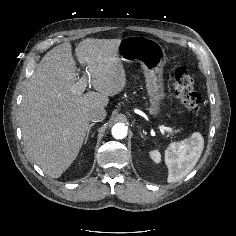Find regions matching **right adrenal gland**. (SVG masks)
Listing matches in <instances>:
<instances>
[{"label": "right adrenal gland", "mask_w": 236, "mask_h": 236, "mask_svg": "<svg viewBox=\"0 0 236 236\" xmlns=\"http://www.w3.org/2000/svg\"><path fill=\"white\" fill-rule=\"evenodd\" d=\"M95 125V123H91L89 125V128H88V131H87V134H86V137H85V143H87V140L89 138V134H90V131H91V128Z\"/></svg>", "instance_id": "1"}]
</instances>
